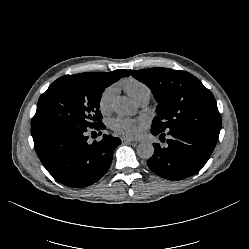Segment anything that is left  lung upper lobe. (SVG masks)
<instances>
[{"instance_id": "5c2ea615", "label": "left lung upper lobe", "mask_w": 249, "mask_h": 249, "mask_svg": "<svg viewBox=\"0 0 249 249\" xmlns=\"http://www.w3.org/2000/svg\"><path fill=\"white\" fill-rule=\"evenodd\" d=\"M130 73L151 89L158 102L152 127L161 131L181 126L221 129L222 120L213 94L192 74L162 67Z\"/></svg>"}]
</instances>
